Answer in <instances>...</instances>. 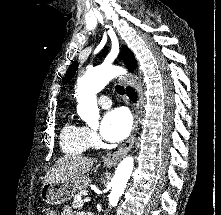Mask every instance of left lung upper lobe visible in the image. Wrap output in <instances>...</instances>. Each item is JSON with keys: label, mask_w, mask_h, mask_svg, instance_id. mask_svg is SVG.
I'll return each mask as SVG.
<instances>
[{"label": "left lung upper lobe", "mask_w": 221, "mask_h": 215, "mask_svg": "<svg viewBox=\"0 0 221 215\" xmlns=\"http://www.w3.org/2000/svg\"><path fill=\"white\" fill-rule=\"evenodd\" d=\"M102 54H104V52ZM77 68H78V62L75 61L69 67L68 72H67V74H66V76L64 78L63 84H66L73 77V75L75 74Z\"/></svg>", "instance_id": "5c2ea615"}]
</instances>
